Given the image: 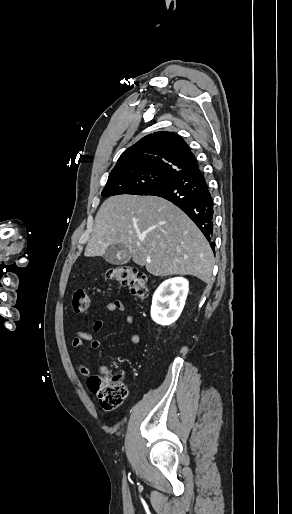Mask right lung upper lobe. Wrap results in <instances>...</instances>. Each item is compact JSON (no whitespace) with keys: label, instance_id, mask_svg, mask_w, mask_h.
<instances>
[{"label":"right lung upper lobe","instance_id":"1","mask_svg":"<svg viewBox=\"0 0 292 514\" xmlns=\"http://www.w3.org/2000/svg\"><path fill=\"white\" fill-rule=\"evenodd\" d=\"M197 165L187 143L174 132H155L125 150L109 176L143 172L174 174Z\"/></svg>","mask_w":292,"mask_h":514}]
</instances>
